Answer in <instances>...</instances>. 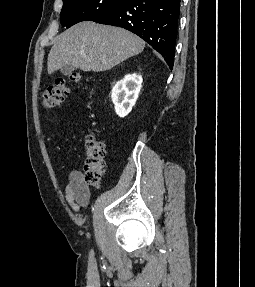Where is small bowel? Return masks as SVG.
<instances>
[{
    "label": "small bowel",
    "instance_id": "c3829d8e",
    "mask_svg": "<svg viewBox=\"0 0 255 287\" xmlns=\"http://www.w3.org/2000/svg\"><path fill=\"white\" fill-rule=\"evenodd\" d=\"M64 195L67 204L73 211L78 212L86 206L90 197V190L80 171L74 170L69 174Z\"/></svg>",
    "mask_w": 255,
    "mask_h": 287
}]
</instances>
